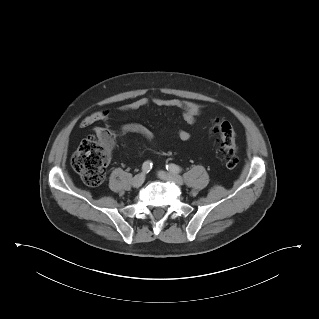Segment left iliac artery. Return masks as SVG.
Wrapping results in <instances>:
<instances>
[{
  "instance_id": "left-iliac-artery-1",
  "label": "left iliac artery",
  "mask_w": 319,
  "mask_h": 319,
  "mask_svg": "<svg viewBox=\"0 0 319 319\" xmlns=\"http://www.w3.org/2000/svg\"><path fill=\"white\" fill-rule=\"evenodd\" d=\"M166 169L170 172H173V173H180L182 171V169L178 165H175V164L167 165Z\"/></svg>"
}]
</instances>
